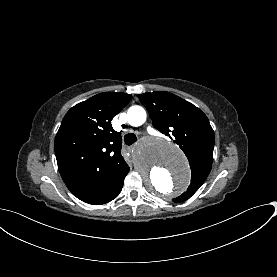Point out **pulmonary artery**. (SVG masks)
Masks as SVG:
<instances>
[{
    "label": "pulmonary artery",
    "mask_w": 277,
    "mask_h": 277,
    "mask_svg": "<svg viewBox=\"0 0 277 277\" xmlns=\"http://www.w3.org/2000/svg\"><path fill=\"white\" fill-rule=\"evenodd\" d=\"M132 107H133V106H132ZM137 107H139V106H137ZM146 130H147V133H148V134H151V135L154 134V136H155V137H158V138H159V137H162V136H163V133H164V132H163V133H162V132H159V131H158V128H156V126H155V125H152V124H151V125H148Z\"/></svg>",
    "instance_id": "1"
}]
</instances>
